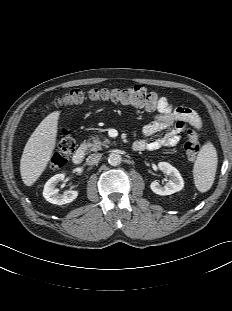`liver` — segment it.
Listing matches in <instances>:
<instances>
[{
  "mask_svg": "<svg viewBox=\"0 0 232 311\" xmlns=\"http://www.w3.org/2000/svg\"><path fill=\"white\" fill-rule=\"evenodd\" d=\"M60 111L50 113L28 139L20 160L21 178L32 186L41 176L51 159L56 144Z\"/></svg>",
  "mask_w": 232,
  "mask_h": 311,
  "instance_id": "6515ba94",
  "label": "liver"
}]
</instances>
